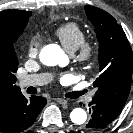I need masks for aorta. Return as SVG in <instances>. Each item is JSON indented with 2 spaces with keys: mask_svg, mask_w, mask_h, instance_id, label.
<instances>
[{
  "mask_svg": "<svg viewBox=\"0 0 133 133\" xmlns=\"http://www.w3.org/2000/svg\"><path fill=\"white\" fill-rule=\"evenodd\" d=\"M40 61L46 66H62L67 62V56L58 45L49 44L41 50ZM70 119L74 124L82 125L87 120V113L82 108H75L70 113Z\"/></svg>",
  "mask_w": 133,
  "mask_h": 133,
  "instance_id": "aorta-1",
  "label": "aorta"
}]
</instances>
